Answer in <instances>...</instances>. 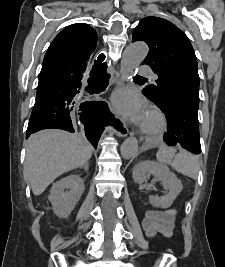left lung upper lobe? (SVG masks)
Returning <instances> with one entry per match:
<instances>
[{"mask_svg":"<svg viewBox=\"0 0 225 267\" xmlns=\"http://www.w3.org/2000/svg\"><path fill=\"white\" fill-rule=\"evenodd\" d=\"M145 41L149 53L144 62L158 75L156 85L143 91L160 109L170 94L183 85L199 88L197 59L187 36L173 23L149 16L135 28L132 42Z\"/></svg>","mask_w":225,"mask_h":267,"instance_id":"1","label":"left lung upper lobe"}]
</instances>
